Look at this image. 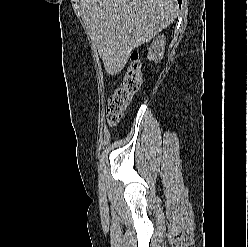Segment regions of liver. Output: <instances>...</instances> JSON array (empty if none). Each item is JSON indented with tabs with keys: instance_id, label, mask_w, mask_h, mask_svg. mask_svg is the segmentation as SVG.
Listing matches in <instances>:
<instances>
[{
	"instance_id": "obj_1",
	"label": "liver",
	"mask_w": 248,
	"mask_h": 247,
	"mask_svg": "<svg viewBox=\"0 0 248 247\" xmlns=\"http://www.w3.org/2000/svg\"><path fill=\"white\" fill-rule=\"evenodd\" d=\"M80 6L110 75L120 73L133 49L148 43L178 13L176 0H81Z\"/></svg>"
}]
</instances>
